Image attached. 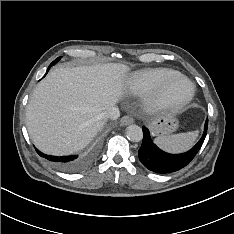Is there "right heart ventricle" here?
<instances>
[{
	"label": "right heart ventricle",
	"instance_id": "1",
	"mask_svg": "<svg viewBox=\"0 0 234 234\" xmlns=\"http://www.w3.org/2000/svg\"><path fill=\"white\" fill-rule=\"evenodd\" d=\"M178 75L179 73L177 71L167 68L137 71L130 76L127 83V90L134 96L146 95Z\"/></svg>",
	"mask_w": 234,
	"mask_h": 234
}]
</instances>
